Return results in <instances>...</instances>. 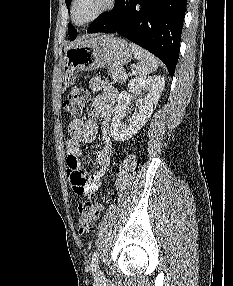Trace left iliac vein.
I'll list each match as a JSON object with an SVG mask.
<instances>
[{"instance_id": "4c4485c4", "label": "left iliac vein", "mask_w": 233, "mask_h": 286, "mask_svg": "<svg viewBox=\"0 0 233 286\" xmlns=\"http://www.w3.org/2000/svg\"><path fill=\"white\" fill-rule=\"evenodd\" d=\"M101 272H97V275L100 276Z\"/></svg>"}]
</instances>
